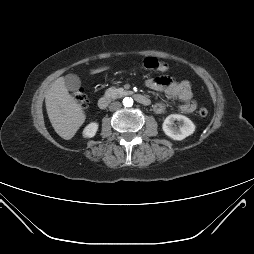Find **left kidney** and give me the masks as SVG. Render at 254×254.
I'll return each mask as SVG.
<instances>
[{
  "label": "left kidney",
  "instance_id": "left-kidney-1",
  "mask_svg": "<svg viewBox=\"0 0 254 254\" xmlns=\"http://www.w3.org/2000/svg\"><path fill=\"white\" fill-rule=\"evenodd\" d=\"M175 120L179 122V126L174 124ZM162 128L164 133L174 140H183L195 131L194 123L186 116L180 114H171L166 117Z\"/></svg>",
  "mask_w": 254,
  "mask_h": 254
}]
</instances>
